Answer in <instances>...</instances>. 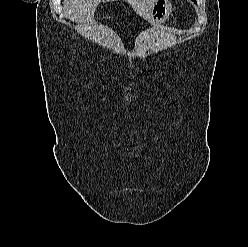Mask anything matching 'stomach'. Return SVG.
<instances>
[{
    "label": "stomach",
    "mask_w": 248,
    "mask_h": 247,
    "mask_svg": "<svg viewBox=\"0 0 248 247\" xmlns=\"http://www.w3.org/2000/svg\"><path fill=\"white\" fill-rule=\"evenodd\" d=\"M172 5L169 0H156L146 20L154 26L163 23L170 15Z\"/></svg>",
    "instance_id": "obj_1"
}]
</instances>
